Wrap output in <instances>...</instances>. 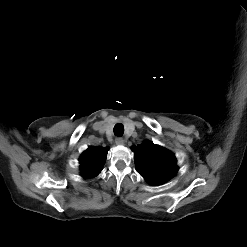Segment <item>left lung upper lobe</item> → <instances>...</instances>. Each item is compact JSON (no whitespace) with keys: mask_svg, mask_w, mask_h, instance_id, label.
<instances>
[{"mask_svg":"<svg viewBox=\"0 0 247 247\" xmlns=\"http://www.w3.org/2000/svg\"><path fill=\"white\" fill-rule=\"evenodd\" d=\"M135 169L151 184H161L178 171L175 155L167 149L145 141L141 145L132 146Z\"/></svg>","mask_w":247,"mask_h":247,"instance_id":"obj_1","label":"left lung upper lobe"}]
</instances>
